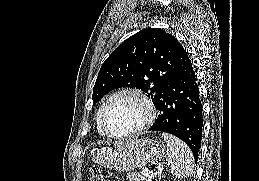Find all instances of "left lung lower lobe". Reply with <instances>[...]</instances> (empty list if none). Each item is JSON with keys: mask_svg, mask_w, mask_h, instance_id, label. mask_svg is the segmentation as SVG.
Returning a JSON list of instances; mask_svg holds the SVG:
<instances>
[{"mask_svg": "<svg viewBox=\"0 0 259 181\" xmlns=\"http://www.w3.org/2000/svg\"><path fill=\"white\" fill-rule=\"evenodd\" d=\"M176 56V73L163 88L155 105L160 112L159 118L149 130L180 138L197 161L203 127L202 104L191 60L180 43Z\"/></svg>", "mask_w": 259, "mask_h": 181, "instance_id": "0a47b994", "label": "left lung lower lobe"}]
</instances>
